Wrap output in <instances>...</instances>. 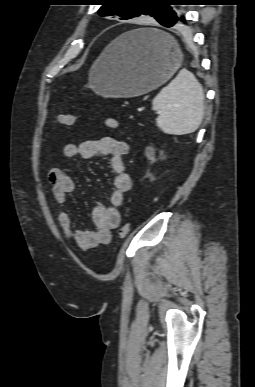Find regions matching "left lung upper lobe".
<instances>
[{
  "mask_svg": "<svg viewBox=\"0 0 255 387\" xmlns=\"http://www.w3.org/2000/svg\"><path fill=\"white\" fill-rule=\"evenodd\" d=\"M176 0H100L101 16H118L131 19L142 15L154 17L160 24H166L177 16L168 2Z\"/></svg>",
  "mask_w": 255,
  "mask_h": 387,
  "instance_id": "left-lung-upper-lobe-1",
  "label": "left lung upper lobe"
}]
</instances>
